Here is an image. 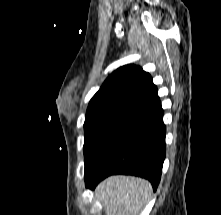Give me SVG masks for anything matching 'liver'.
<instances>
[{
  "instance_id": "6515ba94",
  "label": "liver",
  "mask_w": 221,
  "mask_h": 215,
  "mask_svg": "<svg viewBox=\"0 0 221 215\" xmlns=\"http://www.w3.org/2000/svg\"><path fill=\"white\" fill-rule=\"evenodd\" d=\"M151 184L132 176H111L102 181L95 195L102 203L106 215H138L148 204Z\"/></svg>"
}]
</instances>
